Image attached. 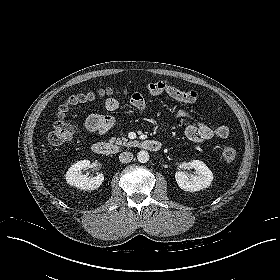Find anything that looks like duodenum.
I'll return each mask as SVG.
<instances>
[{
  "label": "duodenum",
  "instance_id": "1",
  "mask_svg": "<svg viewBox=\"0 0 280 280\" xmlns=\"http://www.w3.org/2000/svg\"><path fill=\"white\" fill-rule=\"evenodd\" d=\"M136 146L151 153H158L161 150V143L156 139H146L138 141ZM118 151L119 149L115 145L110 143L95 142L93 144V152L97 155H114L117 154Z\"/></svg>",
  "mask_w": 280,
  "mask_h": 280
}]
</instances>
